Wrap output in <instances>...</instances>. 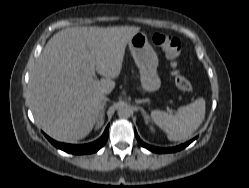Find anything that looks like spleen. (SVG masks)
I'll list each match as a JSON object with an SVG mask.
<instances>
[{
  "label": "spleen",
  "mask_w": 249,
  "mask_h": 188,
  "mask_svg": "<svg viewBox=\"0 0 249 188\" xmlns=\"http://www.w3.org/2000/svg\"><path fill=\"white\" fill-rule=\"evenodd\" d=\"M205 116V100L198 98L193 103L178 108L176 115L160 110L151 111L153 122L160 127L169 140H186L199 128Z\"/></svg>",
  "instance_id": "3e777b00"
}]
</instances>
